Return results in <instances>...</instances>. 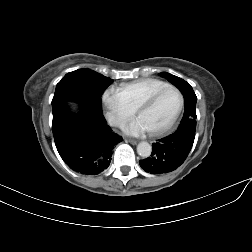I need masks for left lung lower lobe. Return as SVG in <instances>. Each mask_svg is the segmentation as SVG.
Returning a JSON list of instances; mask_svg holds the SVG:
<instances>
[{"instance_id":"left-lung-lower-lobe-1","label":"left lung lower lobe","mask_w":252,"mask_h":252,"mask_svg":"<svg viewBox=\"0 0 252 252\" xmlns=\"http://www.w3.org/2000/svg\"><path fill=\"white\" fill-rule=\"evenodd\" d=\"M185 110L182 120L172 134L157 140L152 145L150 157L140 160V166L148 173L161 174L171 172L183 164L195 139L196 102L194 91L183 93Z\"/></svg>"}]
</instances>
